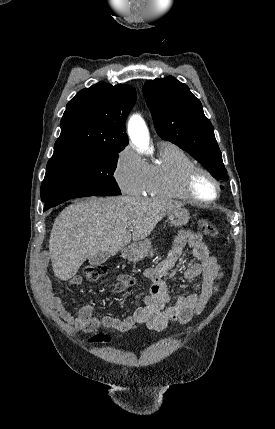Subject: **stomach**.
Masks as SVG:
<instances>
[{"mask_svg":"<svg viewBox=\"0 0 275 429\" xmlns=\"http://www.w3.org/2000/svg\"><path fill=\"white\" fill-rule=\"evenodd\" d=\"M168 223L175 227L185 225L189 220V212L187 209L180 207L168 213ZM151 247V241L145 239L132 244L126 251L125 257L132 262L142 260L148 253Z\"/></svg>","mask_w":275,"mask_h":429,"instance_id":"stomach-1","label":"stomach"}]
</instances>
